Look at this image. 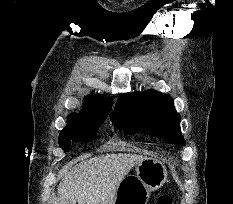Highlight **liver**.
Returning a JSON list of instances; mask_svg holds the SVG:
<instances>
[{"label": "liver", "instance_id": "6515ba94", "mask_svg": "<svg viewBox=\"0 0 233 204\" xmlns=\"http://www.w3.org/2000/svg\"><path fill=\"white\" fill-rule=\"evenodd\" d=\"M144 158L105 154L76 164L59 183L57 204H113L121 181Z\"/></svg>", "mask_w": 233, "mask_h": 204}]
</instances>
